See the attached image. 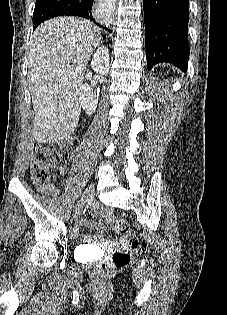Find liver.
<instances>
[{"label":"liver","instance_id":"obj_1","mask_svg":"<svg viewBox=\"0 0 227 315\" xmlns=\"http://www.w3.org/2000/svg\"><path fill=\"white\" fill-rule=\"evenodd\" d=\"M101 29L77 17H57L37 27L30 44L29 89L39 143L71 135L81 112V87Z\"/></svg>","mask_w":227,"mask_h":315}]
</instances>
